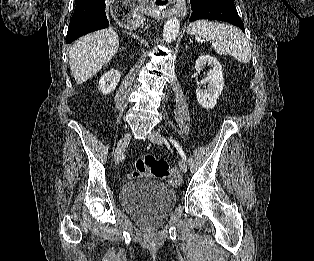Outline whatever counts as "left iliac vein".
<instances>
[{
  "label": "left iliac vein",
  "mask_w": 314,
  "mask_h": 261,
  "mask_svg": "<svg viewBox=\"0 0 314 261\" xmlns=\"http://www.w3.org/2000/svg\"><path fill=\"white\" fill-rule=\"evenodd\" d=\"M149 139L152 143H155L158 145H161L164 142L161 134L155 130L150 133ZM179 168L183 173L187 172V164H186L185 160H183V159L179 160Z\"/></svg>",
  "instance_id": "1"
}]
</instances>
